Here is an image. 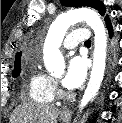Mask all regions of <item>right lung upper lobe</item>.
I'll use <instances>...</instances> for the list:
<instances>
[{"instance_id": "1", "label": "right lung upper lobe", "mask_w": 122, "mask_h": 123, "mask_svg": "<svg viewBox=\"0 0 122 123\" xmlns=\"http://www.w3.org/2000/svg\"><path fill=\"white\" fill-rule=\"evenodd\" d=\"M20 60H21V52L16 53L15 56V67L20 65Z\"/></svg>"}]
</instances>
